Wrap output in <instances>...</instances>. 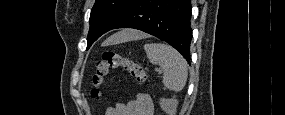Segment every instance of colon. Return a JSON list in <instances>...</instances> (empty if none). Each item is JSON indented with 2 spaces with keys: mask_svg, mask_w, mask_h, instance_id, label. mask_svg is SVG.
I'll return each instance as SVG.
<instances>
[{
  "mask_svg": "<svg viewBox=\"0 0 285 115\" xmlns=\"http://www.w3.org/2000/svg\"><path fill=\"white\" fill-rule=\"evenodd\" d=\"M119 68L130 74L139 83H144L147 79L145 70L138 63L114 52H104L102 59L96 63L95 72L92 75L91 96L94 99L100 98L101 86L110 72Z\"/></svg>",
  "mask_w": 285,
  "mask_h": 115,
  "instance_id": "obj_1",
  "label": "colon"
}]
</instances>
